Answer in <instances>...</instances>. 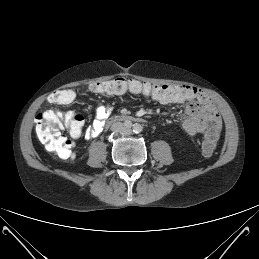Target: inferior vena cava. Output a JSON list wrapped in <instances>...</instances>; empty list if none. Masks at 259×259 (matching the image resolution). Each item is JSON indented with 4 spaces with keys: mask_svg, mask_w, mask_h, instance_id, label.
Wrapping results in <instances>:
<instances>
[{
    "mask_svg": "<svg viewBox=\"0 0 259 259\" xmlns=\"http://www.w3.org/2000/svg\"><path fill=\"white\" fill-rule=\"evenodd\" d=\"M111 129L112 131L114 132H122L124 134H129V131L123 126L122 123L120 122H117V123H114L112 126H111Z\"/></svg>",
    "mask_w": 259,
    "mask_h": 259,
    "instance_id": "602c4592",
    "label": "inferior vena cava"
}]
</instances>
